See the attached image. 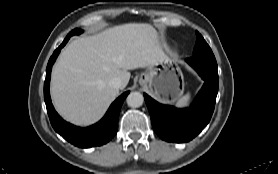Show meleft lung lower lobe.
<instances>
[{
    "label": "left lung lower lobe",
    "mask_w": 278,
    "mask_h": 174,
    "mask_svg": "<svg viewBox=\"0 0 278 174\" xmlns=\"http://www.w3.org/2000/svg\"><path fill=\"white\" fill-rule=\"evenodd\" d=\"M186 62L205 81L189 108L177 109L162 105L144 94L153 129L161 139L168 142L182 143L192 140L209 123L214 111L218 93L217 66L193 57L186 59Z\"/></svg>",
    "instance_id": "1"
}]
</instances>
